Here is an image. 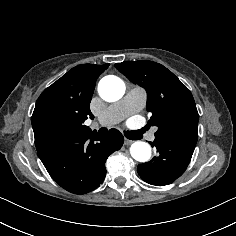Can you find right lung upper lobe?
<instances>
[{"label": "right lung upper lobe", "instance_id": "1", "mask_svg": "<svg viewBox=\"0 0 236 236\" xmlns=\"http://www.w3.org/2000/svg\"><path fill=\"white\" fill-rule=\"evenodd\" d=\"M109 64H82L72 68L64 76L46 88L39 96L32 115L36 148L52 141L50 131L56 126H84L90 116L89 104L96 80Z\"/></svg>", "mask_w": 236, "mask_h": 236}]
</instances>
